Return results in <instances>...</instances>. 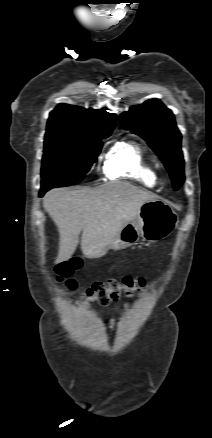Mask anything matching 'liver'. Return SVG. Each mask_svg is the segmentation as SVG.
Wrapping results in <instances>:
<instances>
[{"label":"liver","instance_id":"1","mask_svg":"<svg viewBox=\"0 0 212 438\" xmlns=\"http://www.w3.org/2000/svg\"><path fill=\"white\" fill-rule=\"evenodd\" d=\"M158 198L124 182L79 190L52 189L44 197L43 207L59 232L56 263L71 258L81 231L84 256L90 259L103 256L121 229L136 218L140 207Z\"/></svg>","mask_w":212,"mask_h":438}]
</instances>
